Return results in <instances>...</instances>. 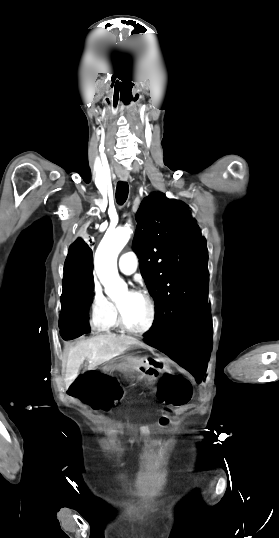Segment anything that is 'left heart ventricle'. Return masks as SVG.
<instances>
[{
	"instance_id": "1",
	"label": "left heart ventricle",
	"mask_w": 279,
	"mask_h": 538,
	"mask_svg": "<svg viewBox=\"0 0 279 538\" xmlns=\"http://www.w3.org/2000/svg\"><path fill=\"white\" fill-rule=\"evenodd\" d=\"M117 300L123 305L125 318L130 327L141 329L145 326L149 317V308L142 297L126 289L119 294Z\"/></svg>"
}]
</instances>
